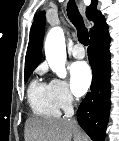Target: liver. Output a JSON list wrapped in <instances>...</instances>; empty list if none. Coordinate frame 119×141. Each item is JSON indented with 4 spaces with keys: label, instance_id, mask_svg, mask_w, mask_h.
<instances>
[{
    "label": "liver",
    "instance_id": "1",
    "mask_svg": "<svg viewBox=\"0 0 119 141\" xmlns=\"http://www.w3.org/2000/svg\"><path fill=\"white\" fill-rule=\"evenodd\" d=\"M26 141H87V136L71 120L31 117L25 123Z\"/></svg>",
    "mask_w": 119,
    "mask_h": 141
}]
</instances>
